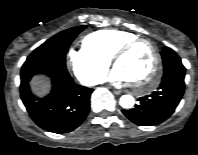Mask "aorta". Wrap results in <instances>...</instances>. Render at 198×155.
Returning a JSON list of instances; mask_svg holds the SVG:
<instances>
[{
    "mask_svg": "<svg viewBox=\"0 0 198 155\" xmlns=\"http://www.w3.org/2000/svg\"><path fill=\"white\" fill-rule=\"evenodd\" d=\"M134 103H135L134 97L129 94L122 95L119 100V104L125 109L132 108L134 106Z\"/></svg>",
    "mask_w": 198,
    "mask_h": 155,
    "instance_id": "obj_1",
    "label": "aorta"
}]
</instances>
